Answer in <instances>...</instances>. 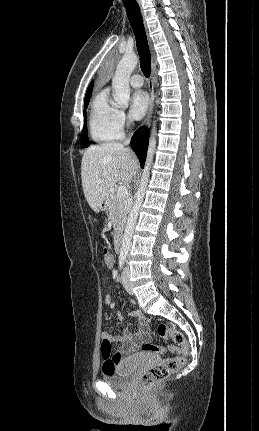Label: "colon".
I'll use <instances>...</instances> for the list:
<instances>
[{
    "mask_svg": "<svg viewBox=\"0 0 259 431\" xmlns=\"http://www.w3.org/2000/svg\"><path fill=\"white\" fill-rule=\"evenodd\" d=\"M104 261L108 268H112L114 263L113 258L107 249H104ZM157 332L161 338L171 339L175 346L163 348L154 344L146 343L142 346V350L145 352L155 353L170 352L178 355L165 358L159 364L144 372L142 376V384L146 388H150L176 373L185 363V357L189 352V345L186 337L181 331L168 324L160 323L157 326ZM101 351L102 355H109L112 351L111 344L108 341H102ZM103 370L106 372H112L114 371V368L113 366L106 364Z\"/></svg>",
    "mask_w": 259,
    "mask_h": 431,
    "instance_id": "obj_1",
    "label": "colon"
}]
</instances>
